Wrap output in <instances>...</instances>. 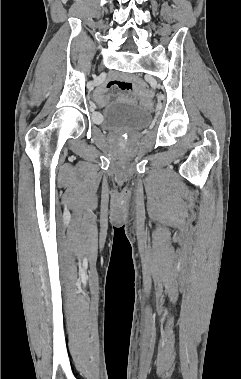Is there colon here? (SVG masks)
Instances as JSON below:
<instances>
[{
	"mask_svg": "<svg viewBox=\"0 0 241 379\" xmlns=\"http://www.w3.org/2000/svg\"><path fill=\"white\" fill-rule=\"evenodd\" d=\"M141 108L149 109L151 100V90H141Z\"/></svg>",
	"mask_w": 241,
	"mask_h": 379,
	"instance_id": "colon-1",
	"label": "colon"
}]
</instances>
